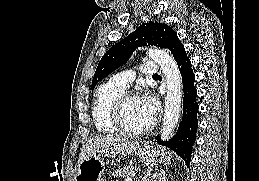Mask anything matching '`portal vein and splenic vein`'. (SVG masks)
Wrapping results in <instances>:
<instances>
[{"mask_svg": "<svg viewBox=\"0 0 259 181\" xmlns=\"http://www.w3.org/2000/svg\"><path fill=\"white\" fill-rule=\"evenodd\" d=\"M125 181H132L130 177L126 178Z\"/></svg>", "mask_w": 259, "mask_h": 181, "instance_id": "18ae733b", "label": "portal vein and splenic vein"}]
</instances>
